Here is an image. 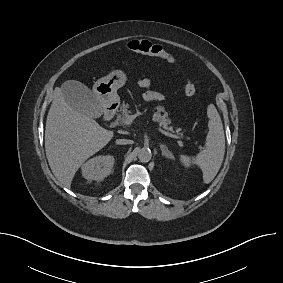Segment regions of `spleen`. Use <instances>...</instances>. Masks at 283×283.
<instances>
[{
  "label": "spleen",
  "mask_w": 283,
  "mask_h": 283,
  "mask_svg": "<svg viewBox=\"0 0 283 283\" xmlns=\"http://www.w3.org/2000/svg\"><path fill=\"white\" fill-rule=\"evenodd\" d=\"M209 132L206 136L205 149L196 156L180 155L181 164L189 168L197 165L203 172L204 183H210L217 175L225 154V136L223 124L213 104L207 108Z\"/></svg>",
  "instance_id": "3e777b00"
}]
</instances>
